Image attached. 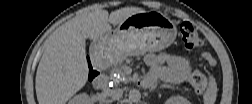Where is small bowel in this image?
I'll return each instance as SVG.
<instances>
[{"label":"small bowel","instance_id":"1","mask_svg":"<svg viewBox=\"0 0 252 104\" xmlns=\"http://www.w3.org/2000/svg\"><path fill=\"white\" fill-rule=\"evenodd\" d=\"M150 68L144 77L145 86L152 85L158 79L167 83H181L186 80L190 73V64L180 54H148L145 58Z\"/></svg>","mask_w":252,"mask_h":104}]
</instances>
